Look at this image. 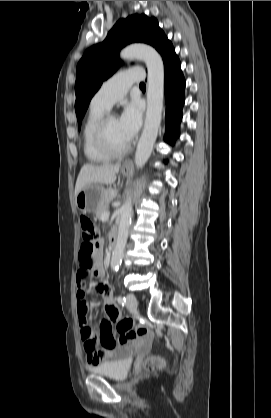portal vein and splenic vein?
<instances>
[{
	"label": "portal vein and splenic vein",
	"instance_id": "18ae733b",
	"mask_svg": "<svg viewBox=\"0 0 271 418\" xmlns=\"http://www.w3.org/2000/svg\"><path fill=\"white\" fill-rule=\"evenodd\" d=\"M109 215H110V213H109V212H106V213H105V214H103V216L101 217V220H102V221H104V220L108 219V218H109Z\"/></svg>",
	"mask_w": 271,
	"mask_h": 418
}]
</instances>
